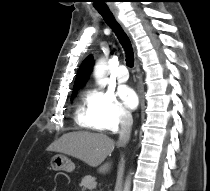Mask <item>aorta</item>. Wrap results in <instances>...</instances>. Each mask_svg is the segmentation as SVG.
I'll use <instances>...</instances> for the list:
<instances>
[{
  "label": "aorta",
  "instance_id": "obj_1",
  "mask_svg": "<svg viewBox=\"0 0 210 191\" xmlns=\"http://www.w3.org/2000/svg\"><path fill=\"white\" fill-rule=\"evenodd\" d=\"M105 69H106V65H105V61L101 60L94 69V75L95 78L97 79V82L99 84H104L106 79H105ZM124 191H128V187L125 188Z\"/></svg>",
  "mask_w": 210,
  "mask_h": 191
}]
</instances>
